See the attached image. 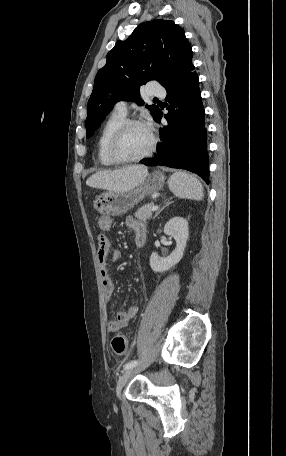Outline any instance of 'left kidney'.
Wrapping results in <instances>:
<instances>
[{"mask_svg": "<svg viewBox=\"0 0 286 456\" xmlns=\"http://www.w3.org/2000/svg\"><path fill=\"white\" fill-rule=\"evenodd\" d=\"M164 233L175 239L176 248L166 258L154 252L151 254L150 267L154 272L167 271L182 259L189 236L187 220L181 217L170 219L164 226Z\"/></svg>", "mask_w": 286, "mask_h": 456, "instance_id": "1", "label": "left kidney"}]
</instances>
